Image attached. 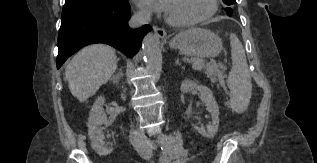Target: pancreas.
I'll list each match as a JSON object with an SVG mask.
<instances>
[{
    "mask_svg": "<svg viewBox=\"0 0 317 163\" xmlns=\"http://www.w3.org/2000/svg\"><path fill=\"white\" fill-rule=\"evenodd\" d=\"M188 61L192 63V67L194 70H205L211 82L214 83L222 79V73L217 65L205 63L204 61L197 58H190L188 59Z\"/></svg>",
    "mask_w": 317,
    "mask_h": 163,
    "instance_id": "obj_1",
    "label": "pancreas"
}]
</instances>
